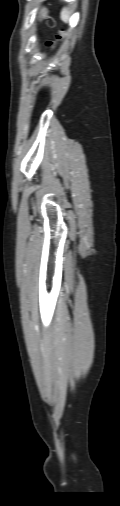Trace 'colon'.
<instances>
[{
	"mask_svg": "<svg viewBox=\"0 0 120 506\" xmlns=\"http://www.w3.org/2000/svg\"><path fill=\"white\" fill-rule=\"evenodd\" d=\"M53 42H49L48 45L50 46Z\"/></svg>",
	"mask_w": 120,
	"mask_h": 506,
	"instance_id": "colon-1",
	"label": "colon"
}]
</instances>
